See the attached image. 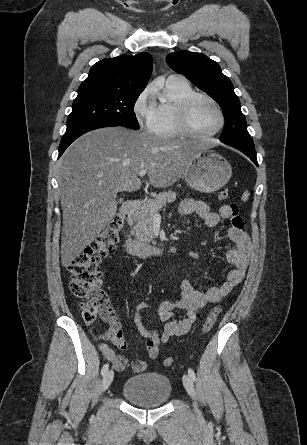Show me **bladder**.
Masks as SVG:
<instances>
[{
  "mask_svg": "<svg viewBox=\"0 0 307 445\" xmlns=\"http://www.w3.org/2000/svg\"><path fill=\"white\" fill-rule=\"evenodd\" d=\"M172 385L163 374L145 372L129 377L123 384V396L142 408L165 405L171 397Z\"/></svg>",
  "mask_w": 307,
  "mask_h": 445,
  "instance_id": "bladder-1",
  "label": "bladder"
}]
</instances>
